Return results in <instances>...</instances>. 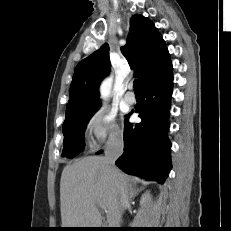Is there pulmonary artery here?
I'll list each match as a JSON object with an SVG mask.
<instances>
[{
	"mask_svg": "<svg viewBox=\"0 0 231 231\" xmlns=\"http://www.w3.org/2000/svg\"><path fill=\"white\" fill-rule=\"evenodd\" d=\"M132 88V85H129V89ZM124 100L127 104H134L135 101H136V97L134 95L133 92L131 91H128L126 94H125V97H124Z\"/></svg>",
	"mask_w": 231,
	"mask_h": 231,
	"instance_id": "obj_1",
	"label": "pulmonary artery"
}]
</instances>
